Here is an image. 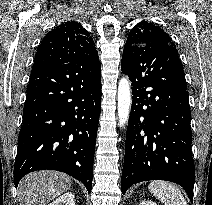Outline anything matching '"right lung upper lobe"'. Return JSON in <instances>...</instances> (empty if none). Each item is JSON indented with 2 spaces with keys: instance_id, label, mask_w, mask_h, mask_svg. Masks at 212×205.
I'll return each instance as SVG.
<instances>
[{
  "instance_id": "obj_1",
  "label": "right lung upper lobe",
  "mask_w": 212,
  "mask_h": 205,
  "mask_svg": "<svg viewBox=\"0 0 212 205\" xmlns=\"http://www.w3.org/2000/svg\"><path fill=\"white\" fill-rule=\"evenodd\" d=\"M99 62L89 32L79 22L67 21L54 27L41 41L32 70L67 63Z\"/></svg>"
}]
</instances>
